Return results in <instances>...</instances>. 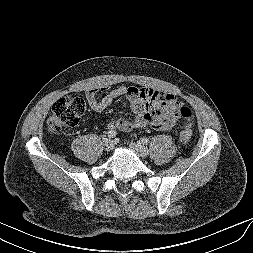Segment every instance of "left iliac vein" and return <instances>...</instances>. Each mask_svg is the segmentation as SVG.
Listing matches in <instances>:
<instances>
[{
    "mask_svg": "<svg viewBox=\"0 0 253 253\" xmlns=\"http://www.w3.org/2000/svg\"><path fill=\"white\" fill-rule=\"evenodd\" d=\"M130 148L137 153L140 157H146L148 155V149L139 142H131Z\"/></svg>",
    "mask_w": 253,
    "mask_h": 253,
    "instance_id": "obj_1",
    "label": "left iliac vein"
}]
</instances>
